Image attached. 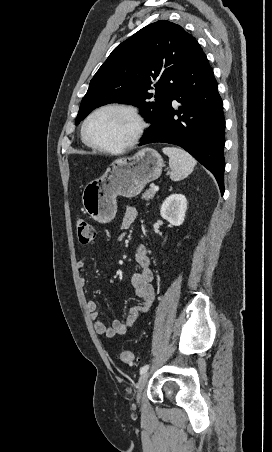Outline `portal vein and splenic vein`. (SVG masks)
<instances>
[{
	"label": "portal vein and splenic vein",
	"instance_id": "1",
	"mask_svg": "<svg viewBox=\"0 0 272 452\" xmlns=\"http://www.w3.org/2000/svg\"><path fill=\"white\" fill-rule=\"evenodd\" d=\"M153 190H154V191H158V190H159V187H158V186H154V187H153Z\"/></svg>",
	"mask_w": 272,
	"mask_h": 452
}]
</instances>
